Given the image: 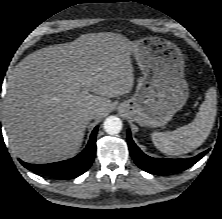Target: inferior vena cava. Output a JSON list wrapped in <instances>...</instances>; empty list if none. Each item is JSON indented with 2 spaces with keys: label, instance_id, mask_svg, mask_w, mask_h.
Returning <instances> with one entry per match:
<instances>
[{
  "label": "inferior vena cava",
  "instance_id": "1",
  "mask_svg": "<svg viewBox=\"0 0 222 219\" xmlns=\"http://www.w3.org/2000/svg\"><path fill=\"white\" fill-rule=\"evenodd\" d=\"M97 111H98V109L95 108V109L91 110V111L89 112V114H90L91 116H94V115L97 113Z\"/></svg>",
  "mask_w": 222,
  "mask_h": 219
}]
</instances>
